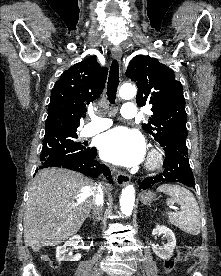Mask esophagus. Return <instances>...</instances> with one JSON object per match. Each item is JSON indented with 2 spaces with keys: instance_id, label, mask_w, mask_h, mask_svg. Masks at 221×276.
Masks as SVG:
<instances>
[{
  "instance_id": "1",
  "label": "esophagus",
  "mask_w": 221,
  "mask_h": 276,
  "mask_svg": "<svg viewBox=\"0 0 221 276\" xmlns=\"http://www.w3.org/2000/svg\"><path fill=\"white\" fill-rule=\"evenodd\" d=\"M112 57L117 60V61H121V57H122V51L119 47H114L112 49ZM130 181V176L128 174L125 173H118L116 176V183L119 186H124L126 185L128 182Z\"/></svg>"
}]
</instances>
